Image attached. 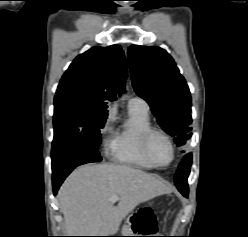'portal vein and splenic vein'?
Here are the masks:
<instances>
[{"label":"portal vein and splenic vein","mask_w":248,"mask_h":237,"mask_svg":"<svg viewBox=\"0 0 248 237\" xmlns=\"http://www.w3.org/2000/svg\"><path fill=\"white\" fill-rule=\"evenodd\" d=\"M118 199H119V197L117 195H113V196H111L110 201L116 202Z\"/></svg>","instance_id":"obj_1"}]
</instances>
